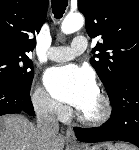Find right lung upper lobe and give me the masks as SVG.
<instances>
[{
	"label": "right lung upper lobe",
	"mask_w": 139,
	"mask_h": 150,
	"mask_svg": "<svg viewBox=\"0 0 139 150\" xmlns=\"http://www.w3.org/2000/svg\"><path fill=\"white\" fill-rule=\"evenodd\" d=\"M47 7L48 0H0V48L33 51Z\"/></svg>",
	"instance_id": "1"
}]
</instances>
